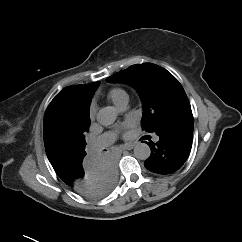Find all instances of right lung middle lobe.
<instances>
[{"instance_id": "right-lung-middle-lobe-1", "label": "right lung middle lobe", "mask_w": 242, "mask_h": 242, "mask_svg": "<svg viewBox=\"0 0 242 242\" xmlns=\"http://www.w3.org/2000/svg\"><path fill=\"white\" fill-rule=\"evenodd\" d=\"M85 136L83 135L80 139H79V145H80V148L82 150V153L83 155H86V152H85Z\"/></svg>"}]
</instances>
